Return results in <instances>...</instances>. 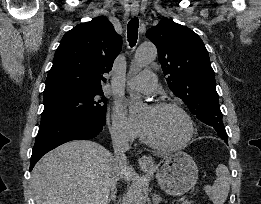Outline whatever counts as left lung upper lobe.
<instances>
[{
	"label": "left lung upper lobe",
	"instance_id": "1",
	"mask_svg": "<svg viewBox=\"0 0 261 204\" xmlns=\"http://www.w3.org/2000/svg\"><path fill=\"white\" fill-rule=\"evenodd\" d=\"M146 37L157 47L169 88L199 120L212 126L228 142L215 74L201 38L191 29L169 19H163L150 28Z\"/></svg>",
	"mask_w": 261,
	"mask_h": 204
}]
</instances>
